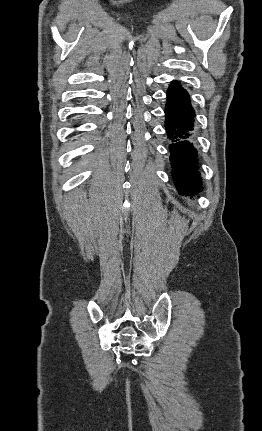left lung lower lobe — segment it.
<instances>
[{"instance_id":"left-lung-lower-lobe-1","label":"left lung lower lobe","mask_w":262,"mask_h":431,"mask_svg":"<svg viewBox=\"0 0 262 431\" xmlns=\"http://www.w3.org/2000/svg\"><path fill=\"white\" fill-rule=\"evenodd\" d=\"M165 117L175 186L180 195L197 194L202 190V179L194 142L195 111L188 92L176 81L167 91Z\"/></svg>"}]
</instances>
